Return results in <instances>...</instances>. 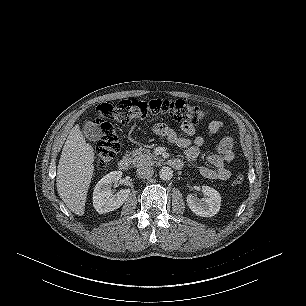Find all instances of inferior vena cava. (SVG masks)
<instances>
[{"mask_svg": "<svg viewBox=\"0 0 306 306\" xmlns=\"http://www.w3.org/2000/svg\"><path fill=\"white\" fill-rule=\"evenodd\" d=\"M137 176L142 179L151 178L154 174V169L149 165L141 166L136 171Z\"/></svg>", "mask_w": 306, "mask_h": 306, "instance_id": "1", "label": "inferior vena cava"}]
</instances>
